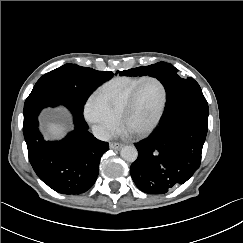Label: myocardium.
Returning <instances> with one entry per match:
<instances>
[{"instance_id": "f54148a6", "label": "myocardium", "mask_w": 243, "mask_h": 243, "mask_svg": "<svg viewBox=\"0 0 243 243\" xmlns=\"http://www.w3.org/2000/svg\"><path fill=\"white\" fill-rule=\"evenodd\" d=\"M148 81H154L160 86V88L162 90V99H161L159 108L157 109L156 113L154 114V116L152 117V119L149 121V123L147 125H145L144 127L140 128V129H137V130H130L133 134H135L137 136L146 135L155 128V126L161 119V117L164 113L166 104H167V90H166L164 83L157 77H152V76L145 77L134 87V89L131 91V93L127 97L125 103L123 104V106L120 110V113H119V119H120L121 125L126 127L127 115L135 102L139 89L145 82H148Z\"/></svg>"}]
</instances>
